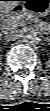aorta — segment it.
Listing matches in <instances>:
<instances>
[{
    "mask_svg": "<svg viewBox=\"0 0 50 111\" xmlns=\"http://www.w3.org/2000/svg\"><path fill=\"white\" fill-rule=\"evenodd\" d=\"M25 43L29 46H36L39 43V38L35 34H28L25 36Z\"/></svg>",
    "mask_w": 50,
    "mask_h": 111,
    "instance_id": "obj_1",
    "label": "aorta"
}]
</instances>
